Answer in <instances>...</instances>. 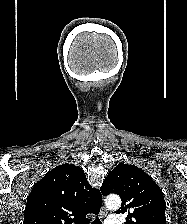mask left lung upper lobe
Masks as SVG:
<instances>
[{
	"label": "left lung upper lobe",
	"mask_w": 187,
	"mask_h": 224,
	"mask_svg": "<svg viewBox=\"0 0 187 224\" xmlns=\"http://www.w3.org/2000/svg\"><path fill=\"white\" fill-rule=\"evenodd\" d=\"M101 192L121 197L122 205L116 213H128L125 224H166L162 190L134 165L118 164L105 178Z\"/></svg>",
	"instance_id": "1"
}]
</instances>
